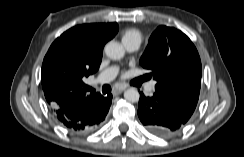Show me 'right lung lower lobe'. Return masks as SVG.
Masks as SVG:
<instances>
[{
	"label": "right lung lower lobe",
	"mask_w": 244,
	"mask_h": 157,
	"mask_svg": "<svg viewBox=\"0 0 244 157\" xmlns=\"http://www.w3.org/2000/svg\"><path fill=\"white\" fill-rule=\"evenodd\" d=\"M112 102V95L97 93L90 100L76 101L68 109L52 106L58 121L68 130L83 132L98 127L104 120Z\"/></svg>",
	"instance_id": "1"
}]
</instances>
